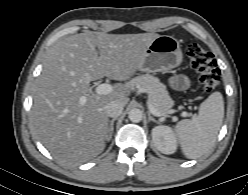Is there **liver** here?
Here are the masks:
<instances>
[{"label": "liver", "instance_id": "liver-1", "mask_svg": "<svg viewBox=\"0 0 248 195\" xmlns=\"http://www.w3.org/2000/svg\"><path fill=\"white\" fill-rule=\"evenodd\" d=\"M157 37L156 33L87 31L59 40L48 51L35 89L31 123L55 159L83 163L104 150L109 124L105 106L118 101L124 107L130 91L115 85L109 94H91L90 82L103 77L129 80Z\"/></svg>", "mask_w": 248, "mask_h": 195}]
</instances>
